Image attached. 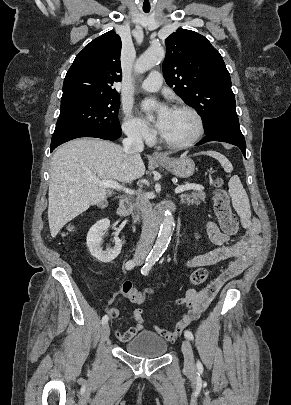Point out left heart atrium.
Wrapping results in <instances>:
<instances>
[{"label":"left heart atrium","instance_id":"1","mask_svg":"<svg viewBox=\"0 0 291 405\" xmlns=\"http://www.w3.org/2000/svg\"><path fill=\"white\" fill-rule=\"evenodd\" d=\"M142 111L145 114L154 112L156 114L154 124L158 130L162 131L168 120L171 109H169L166 105L157 104L152 100H148L142 104Z\"/></svg>","mask_w":291,"mask_h":405}]
</instances>
